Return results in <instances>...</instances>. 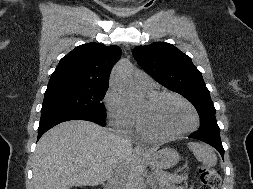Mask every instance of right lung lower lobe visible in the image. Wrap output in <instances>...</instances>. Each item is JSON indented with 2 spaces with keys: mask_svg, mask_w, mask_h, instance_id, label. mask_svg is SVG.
Listing matches in <instances>:
<instances>
[{
  "mask_svg": "<svg viewBox=\"0 0 253 189\" xmlns=\"http://www.w3.org/2000/svg\"><path fill=\"white\" fill-rule=\"evenodd\" d=\"M68 120H87L99 123L102 126L106 125L105 118L94 115L64 111L44 112L41 113V119L38 128V139L53 126Z\"/></svg>",
  "mask_w": 253,
  "mask_h": 189,
  "instance_id": "obj_1",
  "label": "right lung lower lobe"
}]
</instances>
